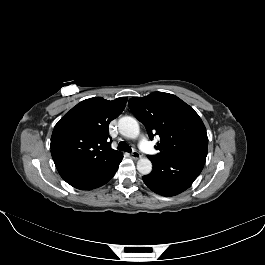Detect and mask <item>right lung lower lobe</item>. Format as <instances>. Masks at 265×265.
<instances>
[{
  "label": "right lung lower lobe",
  "mask_w": 265,
  "mask_h": 265,
  "mask_svg": "<svg viewBox=\"0 0 265 265\" xmlns=\"http://www.w3.org/2000/svg\"><path fill=\"white\" fill-rule=\"evenodd\" d=\"M122 158L123 155L121 154L105 162H87L57 168V170L71 186L80 190H90L107 183L116 173Z\"/></svg>",
  "instance_id": "right-lung-lower-lobe-1"
}]
</instances>
